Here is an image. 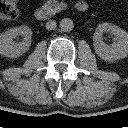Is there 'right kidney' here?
<instances>
[{
	"label": "right kidney",
	"instance_id": "obj_1",
	"mask_svg": "<svg viewBox=\"0 0 128 128\" xmlns=\"http://www.w3.org/2000/svg\"><path fill=\"white\" fill-rule=\"evenodd\" d=\"M19 36H22V41H15ZM31 37L32 30L28 26L8 29L0 36V54L11 58L23 55L31 46Z\"/></svg>",
	"mask_w": 128,
	"mask_h": 128
}]
</instances>
